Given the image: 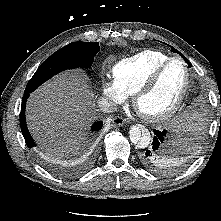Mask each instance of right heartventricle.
I'll use <instances>...</instances> for the list:
<instances>
[{
    "label": "right heart ventricle",
    "instance_id": "right-heart-ventricle-1",
    "mask_svg": "<svg viewBox=\"0 0 221 221\" xmlns=\"http://www.w3.org/2000/svg\"><path fill=\"white\" fill-rule=\"evenodd\" d=\"M170 56L156 50H144L117 62L112 68L114 80L127 95H133L147 78Z\"/></svg>",
    "mask_w": 221,
    "mask_h": 221
}]
</instances>
